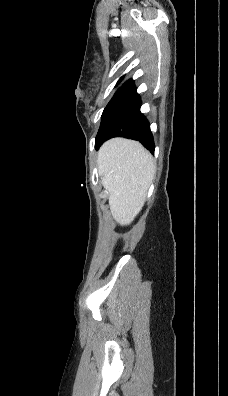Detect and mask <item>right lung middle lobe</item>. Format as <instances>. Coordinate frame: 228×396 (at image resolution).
<instances>
[{
    "label": "right lung middle lobe",
    "instance_id": "right-lung-middle-lobe-1",
    "mask_svg": "<svg viewBox=\"0 0 228 396\" xmlns=\"http://www.w3.org/2000/svg\"><path fill=\"white\" fill-rule=\"evenodd\" d=\"M125 88L120 87L114 94V96L112 97V99L110 100V102L108 103V105L106 106L105 110L109 107V105L121 94V92L124 90ZM104 110V111H105ZM104 113V112H103Z\"/></svg>",
    "mask_w": 228,
    "mask_h": 396
}]
</instances>
